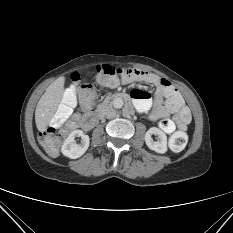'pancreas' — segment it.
<instances>
[{"label": "pancreas", "instance_id": "pancreas-1", "mask_svg": "<svg viewBox=\"0 0 233 233\" xmlns=\"http://www.w3.org/2000/svg\"><path fill=\"white\" fill-rule=\"evenodd\" d=\"M108 99H106L103 103H101V104H99L98 106H97V112H102V111H104L105 110V108L107 107V104H108Z\"/></svg>", "mask_w": 233, "mask_h": 233}]
</instances>
